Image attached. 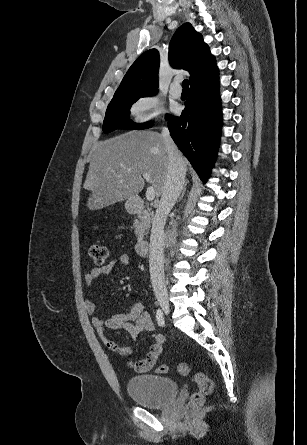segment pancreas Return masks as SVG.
<instances>
[{
  "mask_svg": "<svg viewBox=\"0 0 307 445\" xmlns=\"http://www.w3.org/2000/svg\"><path fill=\"white\" fill-rule=\"evenodd\" d=\"M150 220H152L151 208H148V210H146L145 206H142L141 212H139L137 218H135L133 223L137 241H142L145 229H148L150 225Z\"/></svg>",
  "mask_w": 307,
  "mask_h": 445,
  "instance_id": "1",
  "label": "pancreas"
}]
</instances>
